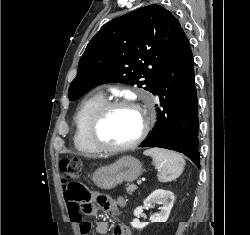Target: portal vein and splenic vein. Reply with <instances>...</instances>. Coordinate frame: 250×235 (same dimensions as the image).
<instances>
[{
	"mask_svg": "<svg viewBox=\"0 0 250 235\" xmlns=\"http://www.w3.org/2000/svg\"><path fill=\"white\" fill-rule=\"evenodd\" d=\"M142 182L141 180H137V184L140 185Z\"/></svg>",
	"mask_w": 250,
	"mask_h": 235,
	"instance_id": "1",
	"label": "portal vein and splenic vein"
}]
</instances>
